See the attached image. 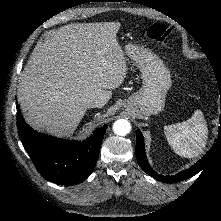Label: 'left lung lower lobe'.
I'll return each mask as SVG.
<instances>
[{"label":"left lung lower lobe","instance_id":"1","mask_svg":"<svg viewBox=\"0 0 221 221\" xmlns=\"http://www.w3.org/2000/svg\"><path fill=\"white\" fill-rule=\"evenodd\" d=\"M221 141V116H220V127H219V133H218V137H217V142ZM136 157H137V161L139 163V165L141 166V168L150 176L154 177L155 179L165 182V183H172V182H176V181H181V180H185L189 177L194 176L195 174H197L198 172H200L203 167L205 166L207 160H208V156L210 155V151L209 154L204 156L201 160H199L196 164H194L193 166H191L190 169L184 170L178 174H176L175 176H163L158 174L157 172H155L149 165L147 158H146V154H145V147H144V138L142 133L137 130L136 131Z\"/></svg>","mask_w":221,"mask_h":221}]
</instances>
